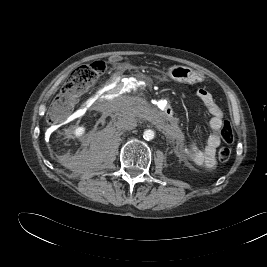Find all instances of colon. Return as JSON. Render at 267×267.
<instances>
[{
  "label": "colon",
  "mask_w": 267,
  "mask_h": 267,
  "mask_svg": "<svg viewBox=\"0 0 267 267\" xmlns=\"http://www.w3.org/2000/svg\"><path fill=\"white\" fill-rule=\"evenodd\" d=\"M105 68L104 62L97 61L74 69L54 100L47 115L48 121L57 124L64 120L73 111L78 97L98 79ZM220 134L225 143L229 144L234 141V131L228 121L223 123ZM230 157V148L222 147L219 150L218 158L221 162H228Z\"/></svg>",
  "instance_id": "1"
}]
</instances>
